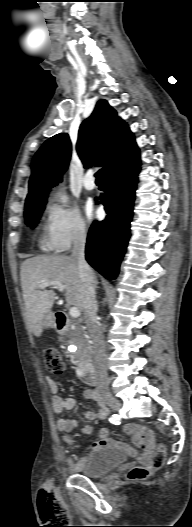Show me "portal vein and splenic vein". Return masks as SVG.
<instances>
[{
	"label": "portal vein and splenic vein",
	"instance_id": "obj_1",
	"mask_svg": "<svg viewBox=\"0 0 192 527\" xmlns=\"http://www.w3.org/2000/svg\"><path fill=\"white\" fill-rule=\"evenodd\" d=\"M48 286H52L54 288H57V289H59V291H63L64 290V285L62 283L58 282V281H43V282H41L39 284L40 288H45V287H48ZM69 314L73 318L80 317V311L76 307L70 308L69 309Z\"/></svg>",
	"mask_w": 192,
	"mask_h": 527
}]
</instances>
